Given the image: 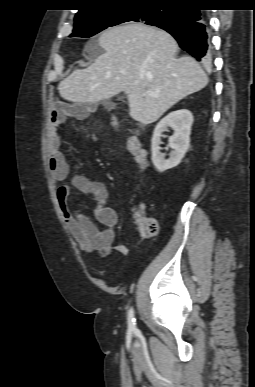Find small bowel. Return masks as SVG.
<instances>
[{"label":"small bowel","mask_w":255,"mask_h":387,"mask_svg":"<svg viewBox=\"0 0 255 387\" xmlns=\"http://www.w3.org/2000/svg\"><path fill=\"white\" fill-rule=\"evenodd\" d=\"M64 118L65 111L63 109L53 110L49 127L48 164L54 177L59 181H64L69 176L68 164L60 150L62 140L58 133V126L64 121ZM72 189L94 196L97 202L94 210L95 218L107 229H99L88 217L72 209L70 204ZM56 196L64 223L82 250L123 255L129 252L127 245L114 242L113 229L118 223V214L114 208L107 204L108 191L102 182L77 174L72 176L69 182L61 183L58 186Z\"/></svg>","instance_id":"small-bowel-1"}]
</instances>
